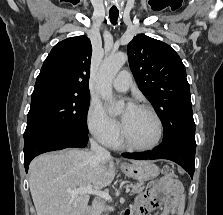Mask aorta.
Here are the masks:
<instances>
[{
	"label": "aorta",
	"instance_id": "1",
	"mask_svg": "<svg viewBox=\"0 0 223 215\" xmlns=\"http://www.w3.org/2000/svg\"><path fill=\"white\" fill-rule=\"evenodd\" d=\"M128 56L124 52H117L112 56L104 58L98 70L97 92L101 94L103 100L109 102L108 113L118 115L124 108V102H113L112 82L120 68L127 62Z\"/></svg>",
	"mask_w": 223,
	"mask_h": 215
}]
</instances>
